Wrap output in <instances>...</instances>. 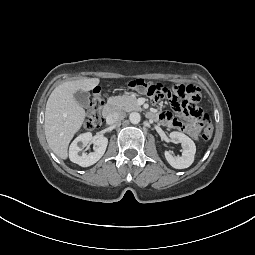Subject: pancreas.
<instances>
[{
	"label": "pancreas",
	"instance_id": "pancreas-1",
	"mask_svg": "<svg viewBox=\"0 0 255 255\" xmlns=\"http://www.w3.org/2000/svg\"><path fill=\"white\" fill-rule=\"evenodd\" d=\"M108 104L117 110H123L126 112L141 110V107L137 103V99L131 95L113 96L108 98Z\"/></svg>",
	"mask_w": 255,
	"mask_h": 255
}]
</instances>
